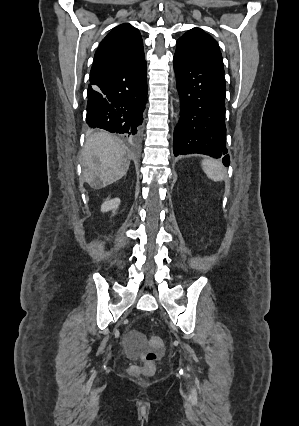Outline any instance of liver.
<instances>
[{
  "mask_svg": "<svg viewBox=\"0 0 299 426\" xmlns=\"http://www.w3.org/2000/svg\"><path fill=\"white\" fill-rule=\"evenodd\" d=\"M130 151L116 137L97 132L87 137L82 155L83 178L93 188H102L121 179L130 165Z\"/></svg>",
  "mask_w": 299,
  "mask_h": 426,
  "instance_id": "liver-1",
  "label": "liver"
}]
</instances>
